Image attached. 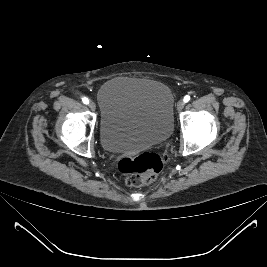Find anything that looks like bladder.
Segmentation results:
<instances>
[{"mask_svg": "<svg viewBox=\"0 0 267 267\" xmlns=\"http://www.w3.org/2000/svg\"><path fill=\"white\" fill-rule=\"evenodd\" d=\"M100 140L108 152L124 153L166 141L174 126V97L161 82L117 77L97 92Z\"/></svg>", "mask_w": 267, "mask_h": 267, "instance_id": "31cf9c89", "label": "bladder"}]
</instances>
